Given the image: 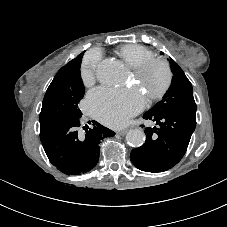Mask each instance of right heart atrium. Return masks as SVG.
I'll use <instances>...</instances> for the list:
<instances>
[{"mask_svg": "<svg viewBox=\"0 0 227 227\" xmlns=\"http://www.w3.org/2000/svg\"><path fill=\"white\" fill-rule=\"evenodd\" d=\"M100 59L101 54L96 50L90 51L85 55L81 67V79L85 85H90L94 81Z\"/></svg>", "mask_w": 227, "mask_h": 227, "instance_id": "d8ad5b80", "label": "right heart atrium"}]
</instances>
